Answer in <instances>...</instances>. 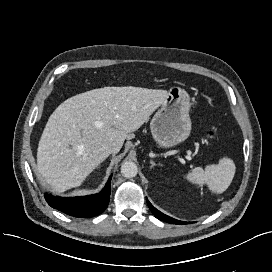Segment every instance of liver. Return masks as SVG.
<instances>
[{
  "instance_id": "1",
  "label": "liver",
  "mask_w": 272,
  "mask_h": 272,
  "mask_svg": "<svg viewBox=\"0 0 272 272\" xmlns=\"http://www.w3.org/2000/svg\"><path fill=\"white\" fill-rule=\"evenodd\" d=\"M166 90L104 87L75 95L51 114L37 150V170L56 191L81 185L109 154L107 142L122 148L164 102Z\"/></svg>"
}]
</instances>
